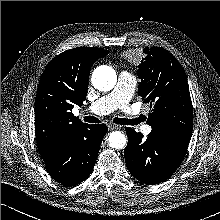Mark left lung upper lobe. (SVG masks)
Wrapping results in <instances>:
<instances>
[{"label":"left lung upper lobe","mask_w":220,"mask_h":220,"mask_svg":"<svg viewBox=\"0 0 220 220\" xmlns=\"http://www.w3.org/2000/svg\"><path fill=\"white\" fill-rule=\"evenodd\" d=\"M143 53L137 71L138 94L152 108L147 124L152 130L190 139L193 109L183 68L164 48H145Z\"/></svg>","instance_id":"5c2ea615"}]
</instances>
